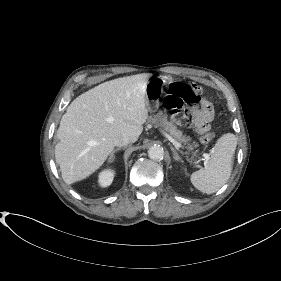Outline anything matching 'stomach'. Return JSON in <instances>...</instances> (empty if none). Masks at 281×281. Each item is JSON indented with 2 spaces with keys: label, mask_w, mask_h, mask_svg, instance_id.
<instances>
[{
  "label": "stomach",
  "mask_w": 281,
  "mask_h": 281,
  "mask_svg": "<svg viewBox=\"0 0 281 281\" xmlns=\"http://www.w3.org/2000/svg\"><path fill=\"white\" fill-rule=\"evenodd\" d=\"M166 84L167 80L161 76L151 78L147 81L145 104L149 111L155 112L158 109L159 97L162 95Z\"/></svg>",
  "instance_id": "0dacf381"
}]
</instances>
